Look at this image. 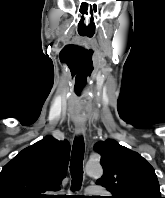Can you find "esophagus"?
I'll return each instance as SVG.
<instances>
[{
  "label": "esophagus",
  "instance_id": "esophagus-1",
  "mask_svg": "<svg viewBox=\"0 0 165 198\" xmlns=\"http://www.w3.org/2000/svg\"><path fill=\"white\" fill-rule=\"evenodd\" d=\"M85 124L84 123H76L75 124V133L78 136L84 135L85 134Z\"/></svg>",
  "mask_w": 165,
  "mask_h": 198
}]
</instances>
